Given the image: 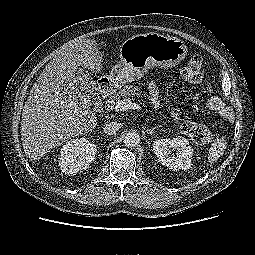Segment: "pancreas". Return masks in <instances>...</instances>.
<instances>
[{"label":"pancreas","instance_id":"1","mask_svg":"<svg viewBox=\"0 0 255 255\" xmlns=\"http://www.w3.org/2000/svg\"><path fill=\"white\" fill-rule=\"evenodd\" d=\"M138 88L132 85H126L124 88L120 89L117 93L111 96V100L108 101V107L113 108L118 101L121 99H130L131 97L138 96Z\"/></svg>","mask_w":255,"mask_h":255}]
</instances>
